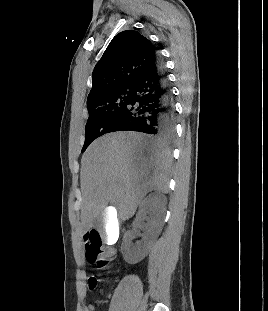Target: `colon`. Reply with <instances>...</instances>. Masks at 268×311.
<instances>
[{
  "mask_svg": "<svg viewBox=\"0 0 268 311\" xmlns=\"http://www.w3.org/2000/svg\"><path fill=\"white\" fill-rule=\"evenodd\" d=\"M86 259L89 263L99 267H107L116 256L115 248L105 246L101 234L97 230L88 231L85 236ZM99 280L91 276L88 279L90 290L97 288Z\"/></svg>",
  "mask_w": 268,
  "mask_h": 311,
  "instance_id": "1",
  "label": "colon"
}]
</instances>
